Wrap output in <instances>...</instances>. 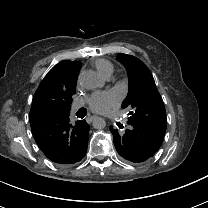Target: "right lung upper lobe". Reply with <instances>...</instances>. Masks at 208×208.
I'll list each match as a JSON object with an SVG mask.
<instances>
[{
    "label": "right lung upper lobe",
    "instance_id": "right-lung-upper-lobe-1",
    "mask_svg": "<svg viewBox=\"0 0 208 208\" xmlns=\"http://www.w3.org/2000/svg\"><path fill=\"white\" fill-rule=\"evenodd\" d=\"M81 62L64 60L55 65L44 77L36 90L30 114L54 113L61 110L64 97L76 93L77 77Z\"/></svg>",
    "mask_w": 208,
    "mask_h": 208
}]
</instances>
